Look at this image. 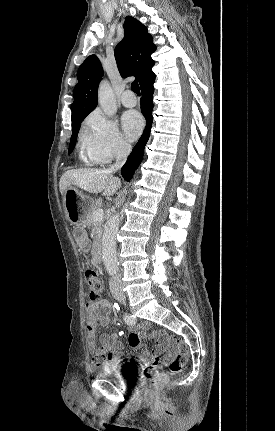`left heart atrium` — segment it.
I'll return each instance as SVG.
<instances>
[{
  "instance_id": "obj_1",
  "label": "left heart atrium",
  "mask_w": 275,
  "mask_h": 431,
  "mask_svg": "<svg viewBox=\"0 0 275 431\" xmlns=\"http://www.w3.org/2000/svg\"><path fill=\"white\" fill-rule=\"evenodd\" d=\"M122 126L127 139L133 141L140 136L144 120L137 111H127L122 117Z\"/></svg>"
}]
</instances>
